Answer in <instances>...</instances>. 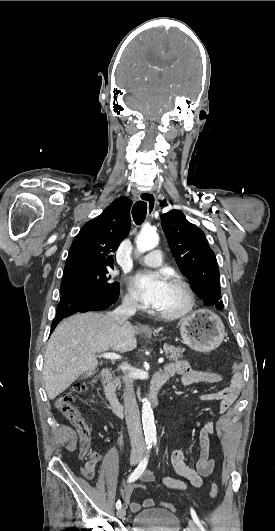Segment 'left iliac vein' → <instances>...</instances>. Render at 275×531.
<instances>
[{"label":"left iliac vein","instance_id":"left-iliac-vein-1","mask_svg":"<svg viewBox=\"0 0 275 531\" xmlns=\"http://www.w3.org/2000/svg\"><path fill=\"white\" fill-rule=\"evenodd\" d=\"M188 523L191 531H200L194 520L190 519Z\"/></svg>","mask_w":275,"mask_h":531}]
</instances>
